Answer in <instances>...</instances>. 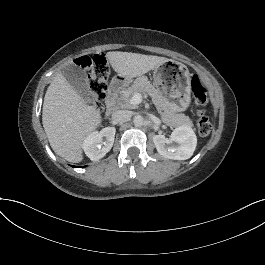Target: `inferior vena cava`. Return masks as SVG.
<instances>
[{"label":"inferior vena cava","instance_id":"1","mask_svg":"<svg viewBox=\"0 0 265 265\" xmlns=\"http://www.w3.org/2000/svg\"><path fill=\"white\" fill-rule=\"evenodd\" d=\"M132 113L127 110H119L112 113V118L116 122H127L130 120Z\"/></svg>","mask_w":265,"mask_h":265}]
</instances>
